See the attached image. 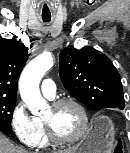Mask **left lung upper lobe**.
<instances>
[{
    "label": "left lung upper lobe",
    "mask_w": 130,
    "mask_h": 153,
    "mask_svg": "<svg viewBox=\"0 0 130 153\" xmlns=\"http://www.w3.org/2000/svg\"><path fill=\"white\" fill-rule=\"evenodd\" d=\"M60 78L66 90L91 110L123 109L124 94L120 75L103 53L85 46L60 52Z\"/></svg>",
    "instance_id": "1"
}]
</instances>
